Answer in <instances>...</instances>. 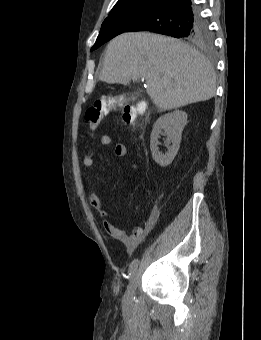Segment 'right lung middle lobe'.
<instances>
[{"instance_id":"right-lung-middle-lobe-1","label":"right lung middle lobe","mask_w":261,"mask_h":340,"mask_svg":"<svg viewBox=\"0 0 261 340\" xmlns=\"http://www.w3.org/2000/svg\"><path fill=\"white\" fill-rule=\"evenodd\" d=\"M158 3L154 1H138L114 6L109 16L103 22L96 43L91 51L118 34L125 32L141 17L154 9ZM178 37L206 47L212 44V36L208 25L202 18H200L196 25L188 28L181 37L177 36L176 38Z\"/></svg>"}]
</instances>
